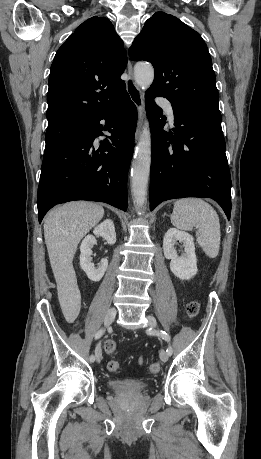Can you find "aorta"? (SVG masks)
<instances>
[{
    "instance_id": "762f6f07",
    "label": "aorta",
    "mask_w": 261,
    "mask_h": 459,
    "mask_svg": "<svg viewBox=\"0 0 261 459\" xmlns=\"http://www.w3.org/2000/svg\"><path fill=\"white\" fill-rule=\"evenodd\" d=\"M134 78L143 91L147 90L154 80L153 66L148 63H137L134 66ZM150 165L151 133L149 122L145 119L131 168V192L139 209L144 207L147 200Z\"/></svg>"
}]
</instances>
